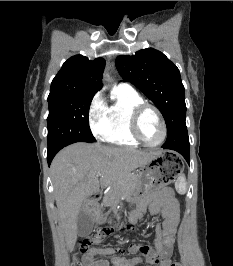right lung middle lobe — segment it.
Segmentation results:
<instances>
[{
    "instance_id": "right-lung-middle-lobe-1",
    "label": "right lung middle lobe",
    "mask_w": 233,
    "mask_h": 266,
    "mask_svg": "<svg viewBox=\"0 0 233 266\" xmlns=\"http://www.w3.org/2000/svg\"><path fill=\"white\" fill-rule=\"evenodd\" d=\"M94 94H74L48 99V152L80 141H95L89 127V107Z\"/></svg>"
}]
</instances>
